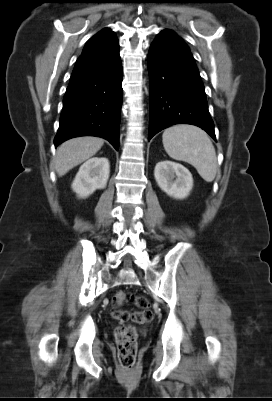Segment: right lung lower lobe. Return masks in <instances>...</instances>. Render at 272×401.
Instances as JSON below:
<instances>
[{"mask_svg": "<svg viewBox=\"0 0 272 401\" xmlns=\"http://www.w3.org/2000/svg\"><path fill=\"white\" fill-rule=\"evenodd\" d=\"M119 44L96 61L73 70L63 99L54 143L78 136H97L119 149L122 105Z\"/></svg>", "mask_w": 272, "mask_h": 401, "instance_id": "98d812e1", "label": "right lung lower lobe"}]
</instances>
